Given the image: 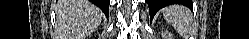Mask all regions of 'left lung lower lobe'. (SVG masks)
<instances>
[{"mask_svg":"<svg viewBox=\"0 0 249 39\" xmlns=\"http://www.w3.org/2000/svg\"><path fill=\"white\" fill-rule=\"evenodd\" d=\"M146 2L149 6L151 19L157 13L158 10L172 3H181L188 6L189 8H192V2L189 0H146Z\"/></svg>","mask_w":249,"mask_h":39,"instance_id":"obj_1","label":"left lung lower lobe"}]
</instances>
